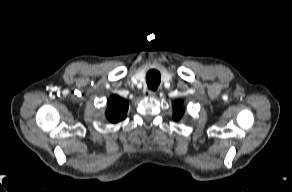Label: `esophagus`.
Segmentation results:
<instances>
[{
	"label": "esophagus",
	"mask_w": 292,
	"mask_h": 192,
	"mask_svg": "<svg viewBox=\"0 0 292 192\" xmlns=\"http://www.w3.org/2000/svg\"><path fill=\"white\" fill-rule=\"evenodd\" d=\"M144 96L145 97H155L156 96V92L153 90H146L144 91Z\"/></svg>",
	"instance_id": "34e87169"
}]
</instances>
